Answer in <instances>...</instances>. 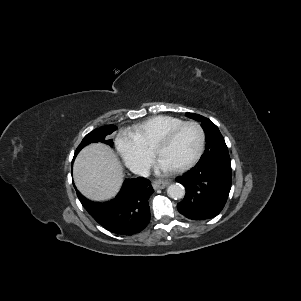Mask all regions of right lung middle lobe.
Here are the masks:
<instances>
[{
    "mask_svg": "<svg viewBox=\"0 0 301 301\" xmlns=\"http://www.w3.org/2000/svg\"><path fill=\"white\" fill-rule=\"evenodd\" d=\"M116 129H117L116 126L110 125V126H105V127H101V128L93 130L92 132H90L89 134H87L84 137V139L82 140V142L80 143V145L76 149L75 156L79 153V151L83 147H85L86 145H88V144H90L92 142L101 141L103 143H106V144H109V145L112 146V144H113L112 139L105 140V137H106V135L111 134Z\"/></svg>",
    "mask_w": 301,
    "mask_h": 301,
    "instance_id": "1",
    "label": "right lung middle lobe"
}]
</instances>
